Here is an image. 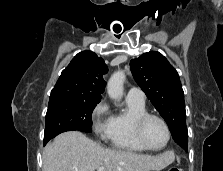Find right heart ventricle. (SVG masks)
Segmentation results:
<instances>
[{"mask_svg":"<svg viewBox=\"0 0 223 171\" xmlns=\"http://www.w3.org/2000/svg\"><path fill=\"white\" fill-rule=\"evenodd\" d=\"M126 103V112L115 113L111 116L106 139L116 149L132 153L145 152L147 149L138 142L134 134L135 119L147 113L145 102L126 99Z\"/></svg>","mask_w":223,"mask_h":171,"instance_id":"e07e8e85","label":"right heart ventricle"}]
</instances>
